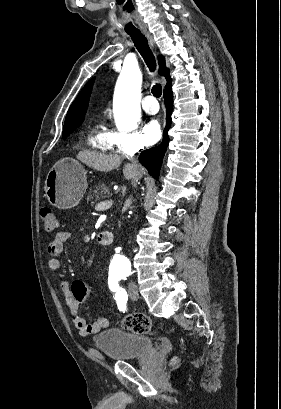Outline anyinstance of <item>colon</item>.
<instances>
[{
    "instance_id": "colon-1",
    "label": "colon",
    "mask_w": 281,
    "mask_h": 409,
    "mask_svg": "<svg viewBox=\"0 0 281 409\" xmlns=\"http://www.w3.org/2000/svg\"><path fill=\"white\" fill-rule=\"evenodd\" d=\"M41 216L46 231L53 232L59 229L56 213L51 207L42 206ZM121 326L134 333H147L153 330V323L149 317L142 312L126 315L121 320Z\"/></svg>"
}]
</instances>
